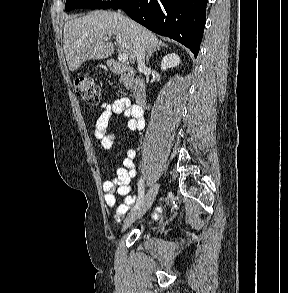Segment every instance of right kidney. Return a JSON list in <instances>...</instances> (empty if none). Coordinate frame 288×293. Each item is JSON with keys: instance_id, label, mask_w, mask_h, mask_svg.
Here are the masks:
<instances>
[{"instance_id": "right-kidney-1", "label": "right kidney", "mask_w": 288, "mask_h": 293, "mask_svg": "<svg viewBox=\"0 0 288 293\" xmlns=\"http://www.w3.org/2000/svg\"><path fill=\"white\" fill-rule=\"evenodd\" d=\"M180 63V58L177 54L175 53H170L167 54L161 62V69L162 70H167L168 68H173Z\"/></svg>"}]
</instances>
